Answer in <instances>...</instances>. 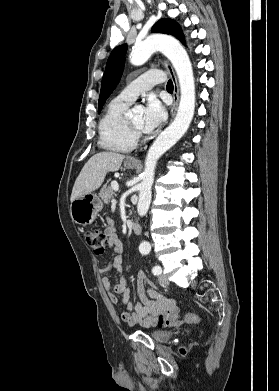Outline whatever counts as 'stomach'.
Returning a JSON list of instances; mask_svg holds the SVG:
<instances>
[{"instance_id":"obj_1","label":"stomach","mask_w":279,"mask_h":391,"mask_svg":"<svg viewBox=\"0 0 279 391\" xmlns=\"http://www.w3.org/2000/svg\"><path fill=\"white\" fill-rule=\"evenodd\" d=\"M125 168L133 169L135 163L125 162ZM103 204L96 194H85L75 199L70 206L72 220L79 225L91 224L102 210Z\"/></svg>"}]
</instances>
